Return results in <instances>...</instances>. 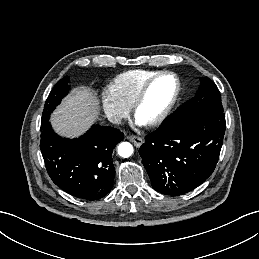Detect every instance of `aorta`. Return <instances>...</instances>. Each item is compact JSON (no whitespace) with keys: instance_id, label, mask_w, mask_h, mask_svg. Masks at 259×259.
Segmentation results:
<instances>
[{"instance_id":"1","label":"aorta","mask_w":259,"mask_h":259,"mask_svg":"<svg viewBox=\"0 0 259 259\" xmlns=\"http://www.w3.org/2000/svg\"><path fill=\"white\" fill-rule=\"evenodd\" d=\"M118 154L123 158H128L133 154V146L129 142H122L118 146Z\"/></svg>"}]
</instances>
